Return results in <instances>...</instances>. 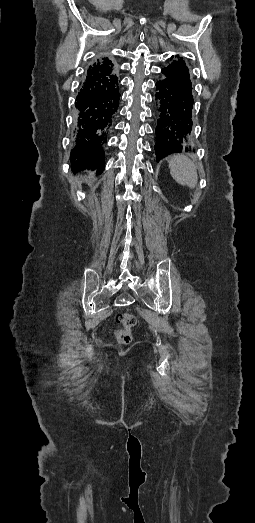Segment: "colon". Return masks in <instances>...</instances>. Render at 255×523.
I'll return each mask as SVG.
<instances>
[{
	"instance_id": "colon-1",
	"label": "colon",
	"mask_w": 255,
	"mask_h": 523,
	"mask_svg": "<svg viewBox=\"0 0 255 523\" xmlns=\"http://www.w3.org/2000/svg\"><path fill=\"white\" fill-rule=\"evenodd\" d=\"M120 328L116 331V339L120 344H129L132 341L133 329L137 324L136 317L128 312L122 313L117 317Z\"/></svg>"
}]
</instances>
